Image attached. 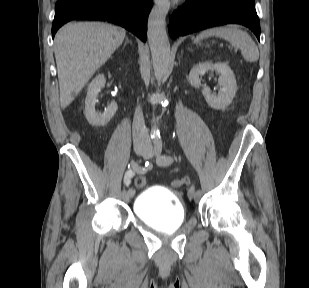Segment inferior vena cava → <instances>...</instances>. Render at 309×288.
<instances>
[{
    "label": "inferior vena cava",
    "mask_w": 309,
    "mask_h": 288,
    "mask_svg": "<svg viewBox=\"0 0 309 288\" xmlns=\"http://www.w3.org/2000/svg\"><path fill=\"white\" fill-rule=\"evenodd\" d=\"M144 120L143 113L140 107H138L135 111L134 119H133V142L134 144H149V134L143 128Z\"/></svg>",
    "instance_id": "602c4592"
}]
</instances>
